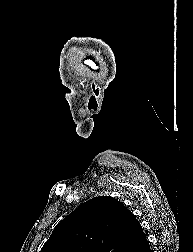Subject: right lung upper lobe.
Masks as SVG:
<instances>
[{
    "label": "right lung upper lobe",
    "instance_id": "right-lung-upper-lobe-1",
    "mask_svg": "<svg viewBox=\"0 0 193 252\" xmlns=\"http://www.w3.org/2000/svg\"><path fill=\"white\" fill-rule=\"evenodd\" d=\"M144 235L122 202L99 196L61 220L41 252H130Z\"/></svg>",
    "mask_w": 193,
    "mask_h": 252
}]
</instances>
